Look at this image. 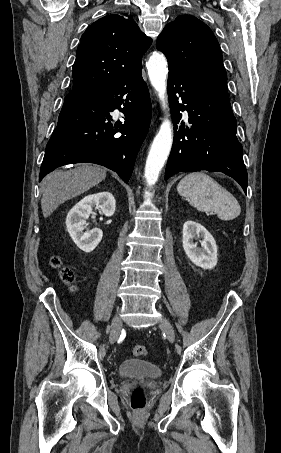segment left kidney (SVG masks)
I'll list each match as a JSON object with an SVG mask.
<instances>
[{
  "label": "left kidney",
  "mask_w": 281,
  "mask_h": 453,
  "mask_svg": "<svg viewBox=\"0 0 281 453\" xmlns=\"http://www.w3.org/2000/svg\"><path fill=\"white\" fill-rule=\"evenodd\" d=\"M202 239L200 241L202 249L193 243L195 237ZM183 249L190 261L202 267V269H213L217 265V245L214 237L209 231L202 227L200 222L195 220H186L183 224Z\"/></svg>",
  "instance_id": "5707ae66"
}]
</instances>
